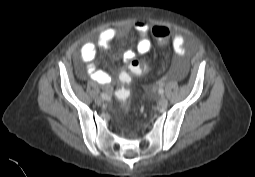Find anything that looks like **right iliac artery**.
I'll return each instance as SVG.
<instances>
[{
  "mask_svg": "<svg viewBox=\"0 0 255 177\" xmlns=\"http://www.w3.org/2000/svg\"><path fill=\"white\" fill-rule=\"evenodd\" d=\"M101 97L104 99V100H110L111 98L109 96H107L105 93H101Z\"/></svg>",
  "mask_w": 255,
  "mask_h": 177,
  "instance_id": "right-iliac-artery-1",
  "label": "right iliac artery"
}]
</instances>
